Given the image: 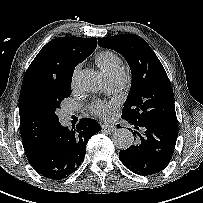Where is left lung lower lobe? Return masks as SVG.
<instances>
[{"instance_id":"obj_1","label":"left lung lower lobe","mask_w":203,"mask_h":203,"mask_svg":"<svg viewBox=\"0 0 203 203\" xmlns=\"http://www.w3.org/2000/svg\"><path fill=\"white\" fill-rule=\"evenodd\" d=\"M136 143L119 152L121 162L132 172L149 176L161 172L172 158L178 136V124L156 121L131 123Z\"/></svg>"}]
</instances>
